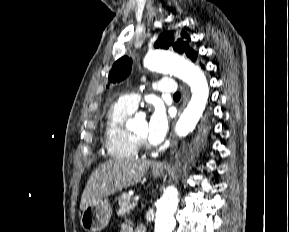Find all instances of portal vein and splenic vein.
Instances as JSON below:
<instances>
[{
	"label": "portal vein and splenic vein",
	"instance_id": "18ae733b",
	"mask_svg": "<svg viewBox=\"0 0 289 232\" xmlns=\"http://www.w3.org/2000/svg\"><path fill=\"white\" fill-rule=\"evenodd\" d=\"M134 201H135V202H138V201H139V197H137V196L134 197Z\"/></svg>",
	"mask_w": 289,
	"mask_h": 232
}]
</instances>
